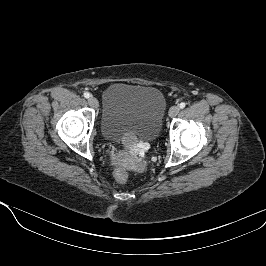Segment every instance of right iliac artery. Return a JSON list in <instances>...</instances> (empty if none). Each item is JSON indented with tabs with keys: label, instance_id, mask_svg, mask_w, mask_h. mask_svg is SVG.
Masks as SVG:
<instances>
[{
	"label": "right iliac artery",
	"instance_id": "82829eb1",
	"mask_svg": "<svg viewBox=\"0 0 266 266\" xmlns=\"http://www.w3.org/2000/svg\"><path fill=\"white\" fill-rule=\"evenodd\" d=\"M83 95H84L85 98H89L90 97V94L88 92H85Z\"/></svg>",
	"mask_w": 266,
	"mask_h": 266
}]
</instances>
